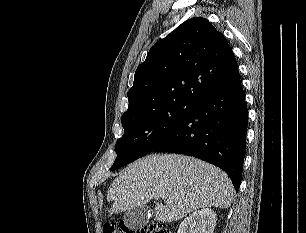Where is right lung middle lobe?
Listing matches in <instances>:
<instances>
[{
  "label": "right lung middle lobe",
  "instance_id": "right-lung-middle-lobe-1",
  "mask_svg": "<svg viewBox=\"0 0 306 233\" xmlns=\"http://www.w3.org/2000/svg\"><path fill=\"white\" fill-rule=\"evenodd\" d=\"M197 105L181 98L164 99L123 114L124 135L115 145L117 158L110 171L153 151Z\"/></svg>",
  "mask_w": 306,
  "mask_h": 233
}]
</instances>
